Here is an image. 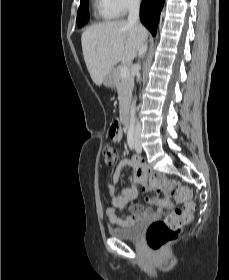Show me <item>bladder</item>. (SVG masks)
I'll list each match as a JSON object with an SVG mask.
<instances>
[{"instance_id":"obj_1","label":"bladder","mask_w":229,"mask_h":280,"mask_svg":"<svg viewBox=\"0 0 229 280\" xmlns=\"http://www.w3.org/2000/svg\"><path fill=\"white\" fill-rule=\"evenodd\" d=\"M144 228V221L139 220L135 224L124 228H114L110 230V234L123 241L136 240L141 235Z\"/></svg>"}]
</instances>
